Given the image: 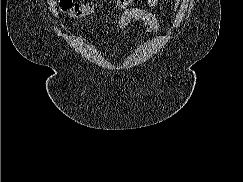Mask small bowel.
Listing matches in <instances>:
<instances>
[{
    "label": "small bowel",
    "mask_w": 243,
    "mask_h": 182,
    "mask_svg": "<svg viewBox=\"0 0 243 182\" xmlns=\"http://www.w3.org/2000/svg\"><path fill=\"white\" fill-rule=\"evenodd\" d=\"M158 0H149L151 6H156ZM132 22H138L145 28L147 34L154 33L159 30L160 24L158 16L145 8H129L123 12L117 21V28L123 29Z\"/></svg>",
    "instance_id": "small-bowel-1"
}]
</instances>
